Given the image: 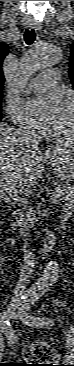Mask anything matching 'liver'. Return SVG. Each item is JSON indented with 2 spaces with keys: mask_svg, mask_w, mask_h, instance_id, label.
Masks as SVG:
<instances>
[{
  "mask_svg": "<svg viewBox=\"0 0 74 366\" xmlns=\"http://www.w3.org/2000/svg\"><path fill=\"white\" fill-rule=\"evenodd\" d=\"M44 170L39 148L24 144L20 131L0 125L1 195H16L22 188L35 186Z\"/></svg>",
  "mask_w": 74,
  "mask_h": 366,
  "instance_id": "liver-1",
  "label": "liver"
}]
</instances>
